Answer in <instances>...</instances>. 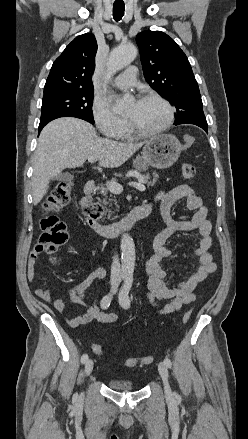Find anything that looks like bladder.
I'll return each instance as SVG.
<instances>
[{
	"instance_id": "1",
	"label": "bladder",
	"mask_w": 248,
	"mask_h": 439,
	"mask_svg": "<svg viewBox=\"0 0 248 439\" xmlns=\"http://www.w3.org/2000/svg\"><path fill=\"white\" fill-rule=\"evenodd\" d=\"M109 387L115 391H132L134 389L133 383L127 380L110 379L108 381Z\"/></svg>"
}]
</instances>
